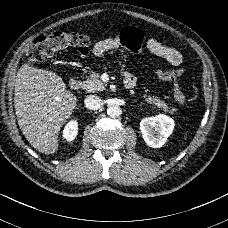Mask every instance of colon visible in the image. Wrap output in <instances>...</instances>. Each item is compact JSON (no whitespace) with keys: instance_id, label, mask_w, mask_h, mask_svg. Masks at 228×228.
Instances as JSON below:
<instances>
[{"instance_id":"1","label":"colon","mask_w":228,"mask_h":228,"mask_svg":"<svg viewBox=\"0 0 228 228\" xmlns=\"http://www.w3.org/2000/svg\"><path fill=\"white\" fill-rule=\"evenodd\" d=\"M92 40L86 35L71 31L57 30L40 36L29 49L27 56L31 63L45 61L62 50H78L84 54L89 53ZM173 97L179 104L186 102V96L180 85L173 86Z\"/></svg>"}]
</instances>
